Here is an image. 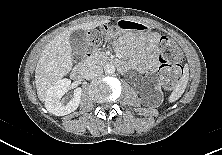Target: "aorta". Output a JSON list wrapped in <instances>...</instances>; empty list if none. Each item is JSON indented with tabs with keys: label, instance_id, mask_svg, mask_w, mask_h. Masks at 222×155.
<instances>
[{
	"label": "aorta",
	"instance_id": "1",
	"mask_svg": "<svg viewBox=\"0 0 222 155\" xmlns=\"http://www.w3.org/2000/svg\"><path fill=\"white\" fill-rule=\"evenodd\" d=\"M104 70H105L106 74L111 75L115 72V66L111 65V64H106L105 67H104Z\"/></svg>",
	"mask_w": 222,
	"mask_h": 155
}]
</instances>
